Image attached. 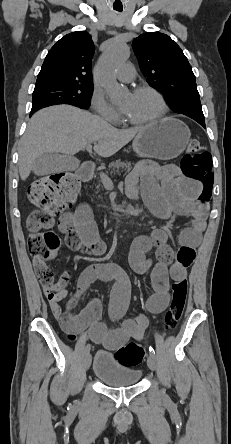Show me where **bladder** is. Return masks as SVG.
<instances>
[{
  "label": "bladder",
  "instance_id": "bladder-1",
  "mask_svg": "<svg viewBox=\"0 0 231 444\" xmlns=\"http://www.w3.org/2000/svg\"><path fill=\"white\" fill-rule=\"evenodd\" d=\"M92 374L108 386L125 387L137 384L142 371L124 364L111 352L99 351L92 364Z\"/></svg>",
  "mask_w": 231,
  "mask_h": 444
}]
</instances>
